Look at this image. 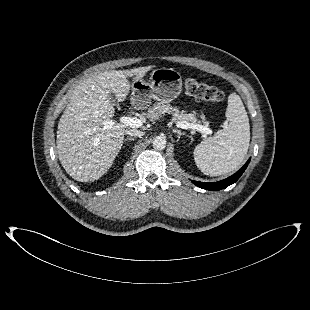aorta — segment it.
Instances as JSON below:
<instances>
[{
    "label": "aorta",
    "instance_id": "762f6f07",
    "mask_svg": "<svg viewBox=\"0 0 310 310\" xmlns=\"http://www.w3.org/2000/svg\"><path fill=\"white\" fill-rule=\"evenodd\" d=\"M153 147L156 150H163L166 147V139L163 136H157L153 140Z\"/></svg>",
    "mask_w": 310,
    "mask_h": 310
}]
</instances>
